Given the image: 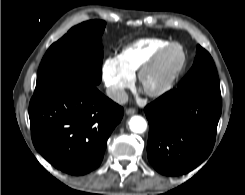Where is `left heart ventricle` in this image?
Listing matches in <instances>:
<instances>
[{
  "instance_id": "obj_1",
  "label": "left heart ventricle",
  "mask_w": 245,
  "mask_h": 195,
  "mask_svg": "<svg viewBox=\"0 0 245 195\" xmlns=\"http://www.w3.org/2000/svg\"><path fill=\"white\" fill-rule=\"evenodd\" d=\"M178 57L176 52L171 53L152 73H150L146 80L145 86L148 88L156 87L164 79L168 71L174 65Z\"/></svg>"
}]
</instances>
